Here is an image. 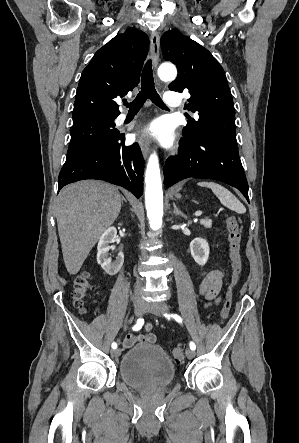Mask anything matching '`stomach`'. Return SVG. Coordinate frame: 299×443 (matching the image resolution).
Here are the masks:
<instances>
[{
	"mask_svg": "<svg viewBox=\"0 0 299 443\" xmlns=\"http://www.w3.org/2000/svg\"><path fill=\"white\" fill-rule=\"evenodd\" d=\"M176 196H177V197H180V195H179V194H176Z\"/></svg>",
	"mask_w": 299,
	"mask_h": 443,
	"instance_id": "0dacf381",
	"label": "stomach"
}]
</instances>
